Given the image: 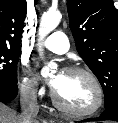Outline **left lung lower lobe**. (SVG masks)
Returning a JSON list of instances; mask_svg holds the SVG:
<instances>
[{
    "instance_id": "obj_1",
    "label": "left lung lower lobe",
    "mask_w": 118,
    "mask_h": 123,
    "mask_svg": "<svg viewBox=\"0 0 118 123\" xmlns=\"http://www.w3.org/2000/svg\"><path fill=\"white\" fill-rule=\"evenodd\" d=\"M112 120L118 122V106L105 110L98 118H89L83 121H104Z\"/></svg>"
}]
</instances>
